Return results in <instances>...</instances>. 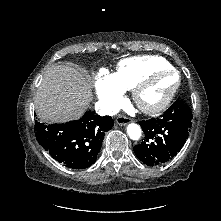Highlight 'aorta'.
I'll list each match as a JSON object with an SVG mask.
<instances>
[{
	"label": "aorta",
	"mask_w": 221,
	"mask_h": 221,
	"mask_svg": "<svg viewBox=\"0 0 221 221\" xmlns=\"http://www.w3.org/2000/svg\"><path fill=\"white\" fill-rule=\"evenodd\" d=\"M127 133L132 140H138L141 137V128L135 123L127 126Z\"/></svg>",
	"instance_id": "obj_1"
}]
</instances>
